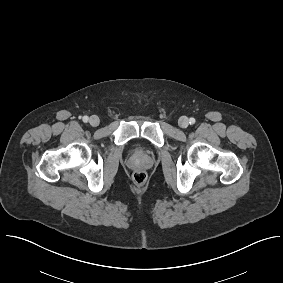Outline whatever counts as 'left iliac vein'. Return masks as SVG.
Here are the masks:
<instances>
[{
  "instance_id": "left-iliac-vein-1",
  "label": "left iliac vein",
  "mask_w": 283,
  "mask_h": 283,
  "mask_svg": "<svg viewBox=\"0 0 283 283\" xmlns=\"http://www.w3.org/2000/svg\"><path fill=\"white\" fill-rule=\"evenodd\" d=\"M178 124L181 128H187L189 125V120L187 117L183 116L179 119Z\"/></svg>"
}]
</instances>
